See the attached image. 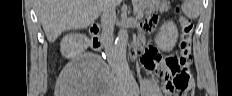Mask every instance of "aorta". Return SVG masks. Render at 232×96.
Segmentation results:
<instances>
[{
  "mask_svg": "<svg viewBox=\"0 0 232 96\" xmlns=\"http://www.w3.org/2000/svg\"><path fill=\"white\" fill-rule=\"evenodd\" d=\"M128 32L122 27L115 41V61L122 75H130V69L126 60V49L128 44Z\"/></svg>",
  "mask_w": 232,
  "mask_h": 96,
  "instance_id": "aorta-1",
  "label": "aorta"
}]
</instances>
